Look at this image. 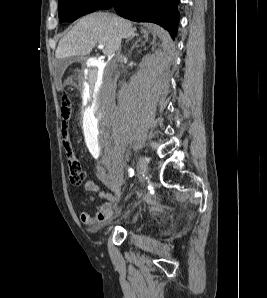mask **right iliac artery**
<instances>
[{"instance_id": "82829eb1", "label": "right iliac artery", "mask_w": 267, "mask_h": 298, "mask_svg": "<svg viewBox=\"0 0 267 298\" xmlns=\"http://www.w3.org/2000/svg\"><path fill=\"white\" fill-rule=\"evenodd\" d=\"M128 173H129V175L132 177V176L134 175V171H133V169L130 168V169L128 170Z\"/></svg>"}]
</instances>
